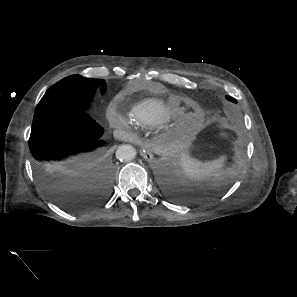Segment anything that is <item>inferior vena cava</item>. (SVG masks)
Masks as SVG:
<instances>
[{
	"mask_svg": "<svg viewBox=\"0 0 297 297\" xmlns=\"http://www.w3.org/2000/svg\"><path fill=\"white\" fill-rule=\"evenodd\" d=\"M114 135L120 139H127L129 137L128 133L122 130H115Z\"/></svg>",
	"mask_w": 297,
	"mask_h": 297,
	"instance_id": "obj_1",
	"label": "inferior vena cava"
}]
</instances>
